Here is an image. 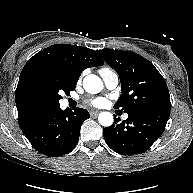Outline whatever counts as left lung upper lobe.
<instances>
[{"mask_svg": "<svg viewBox=\"0 0 193 193\" xmlns=\"http://www.w3.org/2000/svg\"><path fill=\"white\" fill-rule=\"evenodd\" d=\"M97 52L120 77L122 94L114 108L128 114L171 108L165 80L150 61L132 51Z\"/></svg>", "mask_w": 193, "mask_h": 193, "instance_id": "5c2ea615", "label": "left lung upper lobe"}]
</instances>
